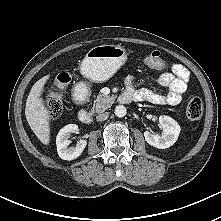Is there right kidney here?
Returning <instances> with one entry per match:
<instances>
[{"instance_id": "right-kidney-1", "label": "right kidney", "mask_w": 221, "mask_h": 221, "mask_svg": "<svg viewBox=\"0 0 221 221\" xmlns=\"http://www.w3.org/2000/svg\"><path fill=\"white\" fill-rule=\"evenodd\" d=\"M78 130V125L68 124L64 126L56 137L57 152L63 160H74L78 158L84 151L87 141L80 140L75 147H68L70 144V134Z\"/></svg>"}]
</instances>
